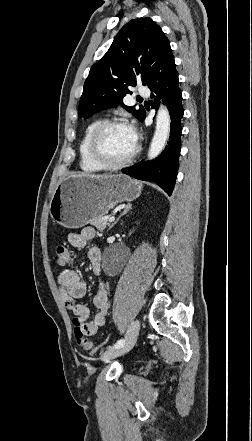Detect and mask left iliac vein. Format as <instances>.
<instances>
[{"label":"left iliac vein","instance_id":"left-iliac-vein-1","mask_svg":"<svg viewBox=\"0 0 252 441\" xmlns=\"http://www.w3.org/2000/svg\"><path fill=\"white\" fill-rule=\"evenodd\" d=\"M139 330H140V322L139 320H134L126 332L124 345L120 348H113L105 351L101 355V360L103 362H108L118 356L124 355L127 352H129L136 343V340L139 335Z\"/></svg>","mask_w":252,"mask_h":441}]
</instances>
